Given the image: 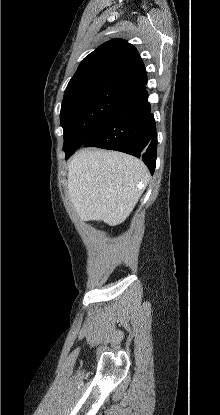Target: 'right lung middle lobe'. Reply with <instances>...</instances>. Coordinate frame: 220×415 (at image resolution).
<instances>
[{"label": "right lung middle lobe", "mask_w": 220, "mask_h": 415, "mask_svg": "<svg viewBox=\"0 0 220 415\" xmlns=\"http://www.w3.org/2000/svg\"><path fill=\"white\" fill-rule=\"evenodd\" d=\"M139 87L117 78H98L66 88L60 118L63 149L78 148L92 137L107 117Z\"/></svg>", "instance_id": "1"}]
</instances>
